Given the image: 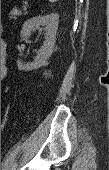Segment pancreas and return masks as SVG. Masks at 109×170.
I'll use <instances>...</instances> for the list:
<instances>
[{"label":"pancreas","instance_id":"cf45deb5","mask_svg":"<svg viewBox=\"0 0 109 170\" xmlns=\"http://www.w3.org/2000/svg\"><path fill=\"white\" fill-rule=\"evenodd\" d=\"M26 9H27L26 6H24L23 11H21V10H19V9H17V8L13 9V10L10 11V13H9V18H10V19H16L18 16L23 15L24 12L26 11Z\"/></svg>","mask_w":109,"mask_h":170}]
</instances>
